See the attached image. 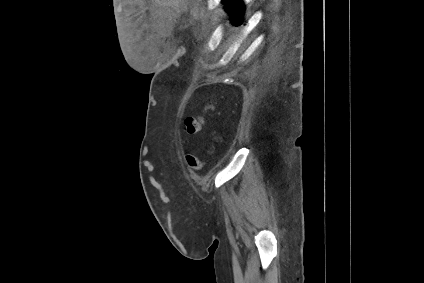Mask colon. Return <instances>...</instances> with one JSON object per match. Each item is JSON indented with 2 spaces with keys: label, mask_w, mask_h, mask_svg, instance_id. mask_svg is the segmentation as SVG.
<instances>
[{
  "label": "colon",
  "mask_w": 424,
  "mask_h": 283,
  "mask_svg": "<svg viewBox=\"0 0 424 283\" xmlns=\"http://www.w3.org/2000/svg\"><path fill=\"white\" fill-rule=\"evenodd\" d=\"M214 109L213 103H209V105L205 108V113L208 111H212ZM204 124V114L187 117L184 120V129L185 132L189 135H193L198 133ZM186 162L188 166L193 170H200L204 166V162L195 156L188 154L186 156Z\"/></svg>",
  "instance_id": "5ec220e1"
}]
</instances>
